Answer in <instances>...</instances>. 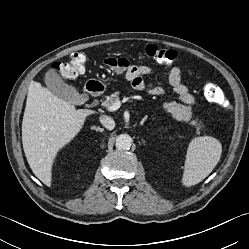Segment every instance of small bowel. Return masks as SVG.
Masks as SVG:
<instances>
[{"label":"small bowel","mask_w":249,"mask_h":249,"mask_svg":"<svg viewBox=\"0 0 249 249\" xmlns=\"http://www.w3.org/2000/svg\"><path fill=\"white\" fill-rule=\"evenodd\" d=\"M127 63L124 70H117L119 73H125L127 80L131 83L132 87L138 91H148L153 95H161L164 89L161 86L148 88L144 77L150 73V68L145 65H132L125 58H122ZM168 81L174 92L178 95L181 102L187 105H192L195 102L194 95L190 92L189 88L182 82V73L180 68L173 67L169 71Z\"/></svg>","instance_id":"1"}]
</instances>
